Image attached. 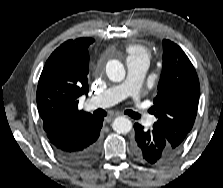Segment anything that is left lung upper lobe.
Instances as JSON below:
<instances>
[{
	"label": "left lung upper lobe",
	"mask_w": 223,
	"mask_h": 188,
	"mask_svg": "<svg viewBox=\"0 0 223 188\" xmlns=\"http://www.w3.org/2000/svg\"><path fill=\"white\" fill-rule=\"evenodd\" d=\"M199 95L192 63L177 44L163 40V69L151 112L157 118L153 126L163 132L177 152L193 127Z\"/></svg>",
	"instance_id": "1"
}]
</instances>
